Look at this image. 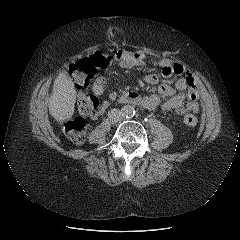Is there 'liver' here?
<instances>
[{
    "label": "liver",
    "instance_id": "1",
    "mask_svg": "<svg viewBox=\"0 0 240 240\" xmlns=\"http://www.w3.org/2000/svg\"><path fill=\"white\" fill-rule=\"evenodd\" d=\"M77 93L71 78L62 71L54 80L52 94L49 98V112L58 122L72 118Z\"/></svg>",
    "mask_w": 240,
    "mask_h": 240
}]
</instances>
